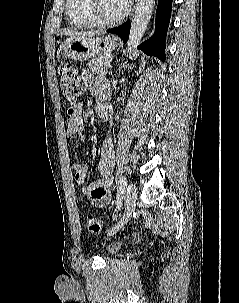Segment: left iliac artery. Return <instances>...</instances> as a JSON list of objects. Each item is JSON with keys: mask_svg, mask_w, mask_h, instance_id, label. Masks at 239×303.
Instances as JSON below:
<instances>
[{"mask_svg": "<svg viewBox=\"0 0 239 303\" xmlns=\"http://www.w3.org/2000/svg\"><path fill=\"white\" fill-rule=\"evenodd\" d=\"M125 187H126V177L125 176H120L119 181H118V187H117V208L120 209L121 207V201L124 197L125 194Z\"/></svg>", "mask_w": 239, "mask_h": 303, "instance_id": "1", "label": "left iliac artery"}]
</instances>
